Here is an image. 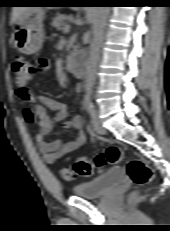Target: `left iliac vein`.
<instances>
[{
    "label": "left iliac vein",
    "mask_w": 170,
    "mask_h": 231,
    "mask_svg": "<svg viewBox=\"0 0 170 231\" xmlns=\"http://www.w3.org/2000/svg\"><path fill=\"white\" fill-rule=\"evenodd\" d=\"M92 126H93V129L96 133L98 134H105L106 133V130L105 128L102 126L100 120H99V117L97 115H95L94 117H92Z\"/></svg>",
    "instance_id": "left-iliac-vein-1"
}]
</instances>
